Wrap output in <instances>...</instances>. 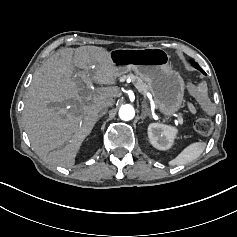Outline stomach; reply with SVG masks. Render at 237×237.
Returning a JSON list of instances; mask_svg holds the SVG:
<instances>
[{"mask_svg": "<svg viewBox=\"0 0 237 237\" xmlns=\"http://www.w3.org/2000/svg\"><path fill=\"white\" fill-rule=\"evenodd\" d=\"M117 76L133 70L149 87L157 107L167 117L182 105L185 84L179 72L170 69L168 53L159 47L114 49L108 53Z\"/></svg>", "mask_w": 237, "mask_h": 237, "instance_id": "1", "label": "stomach"}]
</instances>
